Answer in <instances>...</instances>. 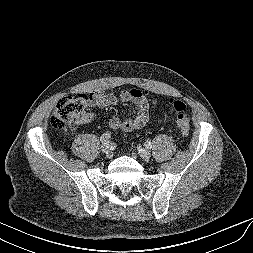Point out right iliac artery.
<instances>
[{"mask_svg": "<svg viewBox=\"0 0 253 253\" xmlns=\"http://www.w3.org/2000/svg\"><path fill=\"white\" fill-rule=\"evenodd\" d=\"M111 137L110 133H104L101 137L100 140L101 142H107V140Z\"/></svg>", "mask_w": 253, "mask_h": 253, "instance_id": "right-iliac-artery-1", "label": "right iliac artery"}]
</instances>
